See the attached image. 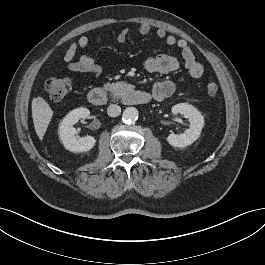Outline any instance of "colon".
Masks as SVG:
<instances>
[{
	"mask_svg": "<svg viewBox=\"0 0 265 265\" xmlns=\"http://www.w3.org/2000/svg\"><path fill=\"white\" fill-rule=\"evenodd\" d=\"M45 90L51 100L60 101L71 91V82L67 78H49L45 83ZM205 90L207 95L215 96L218 86L215 82H208Z\"/></svg>",
	"mask_w": 265,
	"mask_h": 265,
	"instance_id": "1",
	"label": "colon"
}]
</instances>
